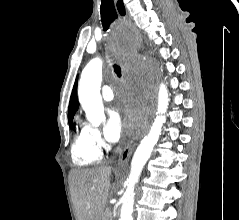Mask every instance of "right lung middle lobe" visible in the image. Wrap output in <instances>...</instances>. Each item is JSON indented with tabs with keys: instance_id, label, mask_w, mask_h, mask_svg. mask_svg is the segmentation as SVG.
Returning a JSON list of instances; mask_svg holds the SVG:
<instances>
[{
	"instance_id": "dd1d6c3e",
	"label": "right lung middle lobe",
	"mask_w": 239,
	"mask_h": 220,
	"mask_svg": "<svg viewBox=\"0 0 239 220\" xmlns=\"http://www.w3.org/2000/svg\"><path fill=\"white\" fill-rule=\"evenodd\" d=\"M72 120H73V119L69 120V125H71V124H72Z\"/></svg>"
}]
</instances>
